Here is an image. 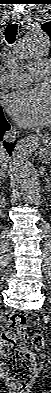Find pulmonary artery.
Returning a JSON list of instances; mask_svg holds the SVG:
<instances>
[{"mask_svg": "<svg viewBox=\"0 0 51 393\" xmlns=\"http://www.w3.org/2000/svg\"><path fill=\"white\" fill-rule=\"evenodd\" d=\"M37 75L46 74L50 71V62L48 60H38L34 62ZM32 75L29 73H13L3 79L6 87H20L27 85L32 81Z\"/></svg>", "mask_w": 51, "mask_h": 393, "instance_id": "obj_1", "label": "pulmonary artery"}]
</instances>
